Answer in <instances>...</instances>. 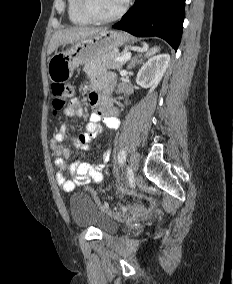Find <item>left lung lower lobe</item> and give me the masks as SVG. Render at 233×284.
<instances>
[{
  "label": "left lung lower lobe",
  "mask_w": 233,
  "mask_h": 284,
  "mask_svg": "<svg viewBox=\"0 0 233 284\" xmlns=\"http://www.w3.org/2000/svg\"><path fill=\"white\" fill-rule=\"evenodd\" d=\"M185 0H135L133 7L113 25L135 36H157L177 50L184 20Z\"/></svg>",
  "instance_id": "obj_1"
}]
</instances>
